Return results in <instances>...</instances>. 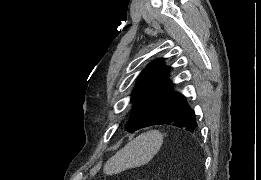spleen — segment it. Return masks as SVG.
<instances>
[{"instance_id":"obj_1","label":"spleen","mask_w":261,"mask_h":180,"mask_svg":"<svg viewBox=\"0 0 261 180\" xmlns=\"http://www.w3.org/2000/svg\"><path fill=\"white\" fill-rule=\"evenodd\" d=\"M162 144L163 136L159 130H149V132L140 134L108 160L104 174L112 176V174H120L130 168L145 166L159 152Z\"/></svg>"}]
</instances>
